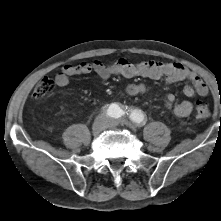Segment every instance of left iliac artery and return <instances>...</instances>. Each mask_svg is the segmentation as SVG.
Listing matches in <instances>:
<instances>
[{
	"instance_id": "left-iliac-artery-1",
	"label": "left iliac artery",
	"mask_w": 221,
	"mask_h": 221,
	"mask_svg": "<svg viewBox=\"0 0 221 221\" xmlns=\"http://www.w3.org/2000/svg\"><path fill=\"white\" fill-rule=\"evenodd\" d=\"M130 119L139 125H143L145 123V115L141 110L138 109L131 112Z\"/></svg>"
}]
</instances>
